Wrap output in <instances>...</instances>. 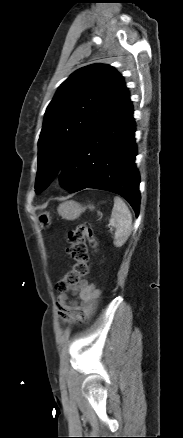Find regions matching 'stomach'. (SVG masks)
Here are the masks:
<instances>
[{
    "mask_svg": "<svg viewBox=\"0 0 183 438\" xmlns=\"http://www.w3.org/2000/svg\"><path fill=\"white\" fill-rule=\"evenodd\" d=\"M85 208L75 201H66L58 207V213L66 220H75L78 218ZM38 221L42 228H48L51 224L49 213L42 212L38 215Z\"/></svg>",
    "mask_w": 183,
    "mask_h": 438,
    "instance_id": "stomach-1",
    "label": "stomach"
}]
</instances>
